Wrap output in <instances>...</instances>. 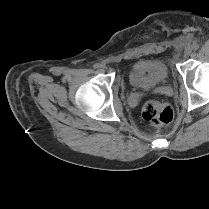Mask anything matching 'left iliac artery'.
Masks as SVG:
<instances>
[{
	"instance_id": "obj_1",
	"label": "left iliac artery",
	"mask_w": 209,
	"mask_h": 209,
	"mask_svg": "<svg viewBox=\"0 0 209 209\" xmlns=\"http://www.w3.org/2000/svg\"><path fill=\"white\" fill-rule=\"evenodd\" d=\"M192 48L193 50H197L199 48L198 43H193Z\"/></svg>"
}]
</instances>
